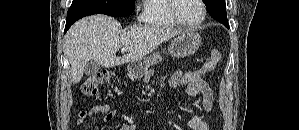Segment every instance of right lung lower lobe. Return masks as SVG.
Masks as SVG:
<instances>
[{"label": "right lung lower lobe", "instance_id": "1", "mask_svg": "<svg viewBox=\"0 0 299 130\" xmlns=\"http://www.w3.org/2000/svg\"><path fill=\"white\" fill-rule=\"evenodd\" d=\"M91 14L94 13L90 11H68L64 32H66L75 21H77L78 19L84 16L91 15Z\"/></svg>", "mask_w": 299, "mask_h": 130}]
</instances>
